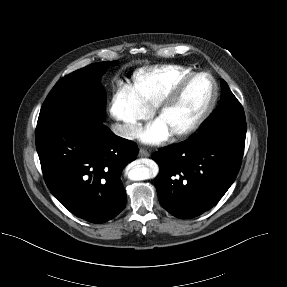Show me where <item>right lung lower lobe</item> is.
Returning <instances> with one entry per match:
<instances>
[{
  "label": "right lung lower lobe",
  "instance_id": "1",
  "mask_svg": "<svg viewBox=\"0 0 287 287\" xmlns=\"http://www.w3.org/2000/svg\"><path fill=\"white\" fill-rule=\"evenodd\" d=\"M103 121L76 114L36 128L35 134L50 192L72 214L92 223H104L124 209L120 174L138 154L133 142L116 136Z\"/></svg>",
  "mask_w": 287,
  "mask_h": 287
}]
</instances>
